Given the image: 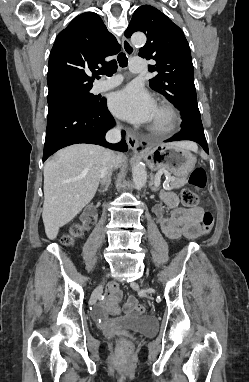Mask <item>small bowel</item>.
Instances as JSON below:
<instances>
[{
	"mask_svg": "<svg viewBox=\"0 0 249 382\" xmlns=\"http://www.w3.org/2000/svg\"><path fill=\"white\" fill-rule=\"evenodd\" d=\"M164 203L171 209L169 216L160 215L158 222L163 233L171 238L178 239L185 237L195 239L201 234V219L203 217V209L197 206L182 207L174 194L166 193L163 196ZM120 296V291L116 283H111L106 289V297L99 304V311H105L114 304ZM136 305V300L130 298L126 309L131 311Z\"/></svg>",
	"mask_w": 249,
	"mask_h": 382,
	"instance_id": "c3829d8e",
	"label": "small bowel"
}]
</instances>
